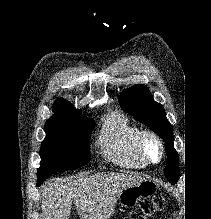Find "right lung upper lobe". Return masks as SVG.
I'll return each instance as SVG.
<instances>
[{
	"label": "right lung upper lobe",
	"instance_id": "1",
	"mask_svg": "<svg viewBox=\"0 0 211 219\" xmlns=\"http://www.w3.org/2000/svg\"><path fill=\"white\" fill-rule=\"evenodd\" d=\"M54 115L51 118H68V117H80L79 110L69 103V101L59 98L53 104ZM84 117V116H82Z\"/></svg>",
	"mask_w": 211,
	"mask_h": 219
}]
</instances>
